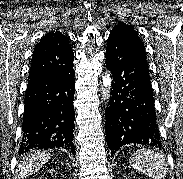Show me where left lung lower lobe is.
Segmentation results:
<instances>
[{"instance_id":"1","label":"left lung lower lobe","mask_w":183,"mask_h":179,"mask_svg":"<svg viewBox=\"0 0 183 179\" xmlns=\"http://www.w3.org/2000/svg\"><path fill=\"white\" fill-rule=\"evenodd\" d=\"M105 56L113 77L105 112L111 154L131 143L161 148L144 45L134 35L113 31Z\"/></svg>"}]
</instances>
